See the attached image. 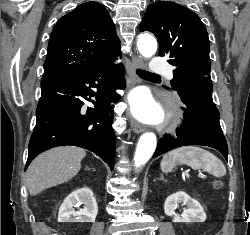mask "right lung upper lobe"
<instances>
[{"label": "right lung upper lobe", "mask_w": 250, "mask_h": 235, "mask_svg": "<svg viewBox=\"0 0 250 235\" xmlns=\"http://www.w3.org/2000/svg\"><path fill=\"white\" fill-rule=\"evenodd\" d=\"M119 55L120 40L105 7L83 3L54 26L41 82L79 74Z\"/></svg>", "instance_id": "cb5924a9"}]
</instances>
